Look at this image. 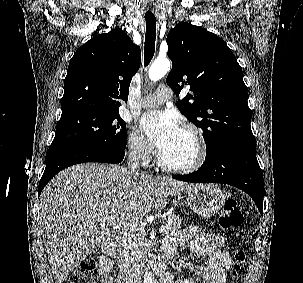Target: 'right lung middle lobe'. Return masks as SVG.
<instances>
[{
    "label": "right lung middle lobe",
    "instance_id": "dd1d6c3e",
    "mask_svg": "<svg viewBox=\"0 0 303 283\" xmlns=\"http://www.w3.org/2000/svg\"><path fill=\"white\" fill-rule=\"evenodd\" d=\"M125 128L119 113L82 111L61 116L50 148L90 146L123 151L126 148Z\"/></svg>",
    "mask_w": 303,
    "mask_h": 283
}]
</instances>
